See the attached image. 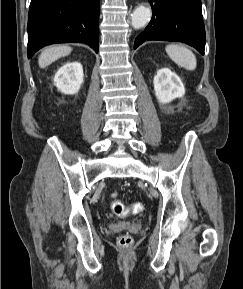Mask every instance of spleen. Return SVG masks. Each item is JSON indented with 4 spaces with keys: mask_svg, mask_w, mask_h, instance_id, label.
<instances>
[{
    "mask_svg": "<svg viewBox=\"0 0 243 289\" xmlns=\"http://www.w3.org/2000/svg\"><path fill=\"white\" fill-rule=\"evenodd\" d=\"M165 49L166 53L176 64L190 71L195 70L197 60L190 49L178 44H169Z\"/></svg>",
    "mask_w": 243,
    "mask_h": 289,
    "instance_id": "obj_1",
    "label": "spleen"
}]
</instances>
